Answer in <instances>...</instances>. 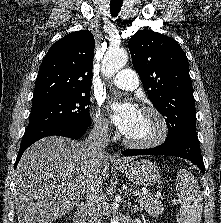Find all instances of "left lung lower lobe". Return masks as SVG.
<instances>
[{
	"label": "left lung lower lobe",
	"mask_w": 221,
	"mask_h": 223,
	"mask_svg": "<svg viewBox=\"0 0 221 223\" xmlns=\"http://www.w3.org/2000/svg\"><path fill=\"white\" fill-rule=\"evenodd\" d=\"M125 156L134 155H170L185 158L195 164L203 173L205 166L201 156L197 134H183L150 149H129Z\"/></svg>",
	"instance_id": "0a47b994"
}]
</instances>
